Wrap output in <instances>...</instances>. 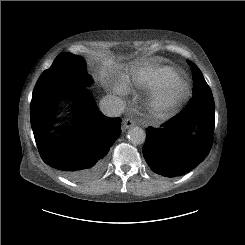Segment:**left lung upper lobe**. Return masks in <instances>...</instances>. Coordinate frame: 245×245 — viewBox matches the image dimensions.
Listing matches in <instances>:
<instances>
[{
    "label": "left lung upper lobe",
    "instance_id": "obj_1",
    "mask_svg": "<svg viewBox=\"0 0 245 245\" xmlns=\"http://www.w3.org/2000/svg\"><path fill=\"white\" fill-rule=\"evenodd\" d=\"M192 69L193 80H194V88H193V98L190 99L191 104H195L196 100H209L212 97V92L208 84L206 83L201 71L199 68L192 62L188 61ZM202 86L206 87L205 91L202 92L200 89ZM202 92V93H201ZM196 96V97H195Z\"/></svg>",
    "mask_w": 245,
    "mask_h": 245
}]
</instances>
